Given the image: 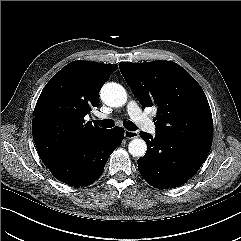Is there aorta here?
I'll return each mask as SVG.
<instances>
[{"label": "aorta", "mask_w": 241, "mask_h": 241, "mask_svg": "<svg viewBox=\"0 0 241 241\" xmlns=\"http://www.w3.org/2000/svg\"><path fill=\"white\" fill-rule=\"evenodd\" d=\"M102 101L111 107H121L127 101L125 89L117 83H106L100 93ZM147 150L146 142L143 139H133L128 145V151L133 157H142Z\"/></svg>", "instance_id": "1"}]
</instances>
